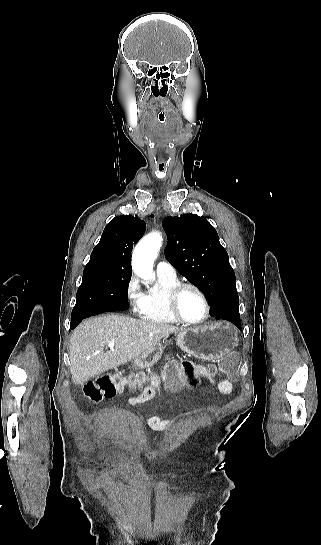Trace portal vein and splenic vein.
Here are the masks:
<instances>
[{
  "label": "portal vein and splenic vein",
  "instance_id": "portal-vein-and-splenic-vein-1",
  "mask_svg": "<svg viewBox=\"0 0 321 545\" xmlns=\"http://www.w3.org/2000/svg\"><path fill=\"white\" fill-rule=\"evenodd\" d=\"M107 347H109L110 351H113V349L115 347L114 341H110V343H108Z\"/></svg>",
  "mask_w": 321,
  "mask_h": 545
}]
</instances>
